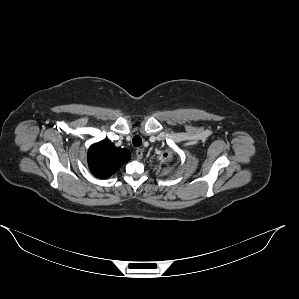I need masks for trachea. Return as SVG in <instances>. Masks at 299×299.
I'll return each mask as SVG.
<instances>
[{
	"label": "trachea",
	"instance_id": "obj_1",
	"mask_svg": "<svg viewBox=\"0 0 299 299\" xmlns=\"http://www.w3.org/2000/svg\"><path fill=\"white\" fill-rule=\"evenodd\" d=\"M132 143L135 147H139L142 145V139L139 135L133 137Z\"/></svg>",
	"mask_w": 299,
	"mask_h": 299
}]
</instances>
